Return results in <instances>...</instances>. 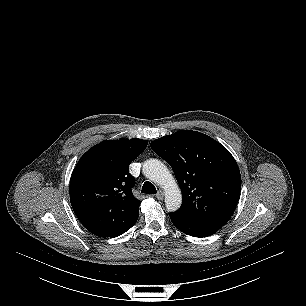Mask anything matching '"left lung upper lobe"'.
<instances>
[{"instance_id":"1","label":"left lung upper lobe","mask_w":306,"mask_h":306,"mask_svg":"<svg viewBox=\"0 0 306 306\" xmlns=\"http://www.w3.org/2000/svg\"><path fill=\"white\" fill-rule=\"evenodd\" d=\"M173 169L183 204L176 211L198 223L223 226L232 216L241 190V175L231 153L196 131L182 130L151 143Z\"/></svg>"}]
</instances>
